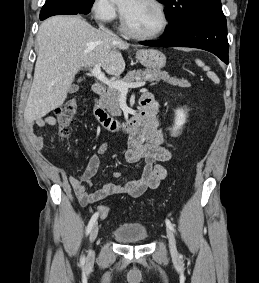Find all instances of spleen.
Returning a JSON list of instances; mask_svg holds the SVG:
<instances>
[{
	"mask_svg": "<svg viewBox=\"0 0 259 283\" xmlns=\"http://www.w3.org/2000/svg\"><path fill=\"white\" fill-rule=\"evenodd\" d=\"M196 64L199 66V67H202L205 71H207V75L208 77L212 78V79H217L216 75L210 71V68L205 66V64L199 60V59H196Z\"/></svg>",
	"mask_w": 259,
	"mask_h": 283,
	"instance_id": "obj_1",
	"label": "spleen"
}]
</instances>
